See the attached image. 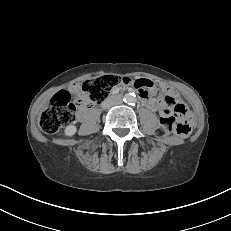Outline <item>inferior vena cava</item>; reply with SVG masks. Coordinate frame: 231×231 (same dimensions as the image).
<instances>
[{
  "mask_svg": "<svg viewBox=\"0 0 231 231\" xmlns=\"http://www.w3.org/2000/svg\"><path fill=\"white\" fill-rule=\"evenodd\" d=\"M111 105H113V103L112 102H105L104 104H103V106L106 108V107H110Z\"/></svg>",
  "mask_w": 231,
  "mask_h": 231,
  "instance_id": "inferior-vena-cava-1",
  "label": "inferior vena cava"
}]
</instances>
